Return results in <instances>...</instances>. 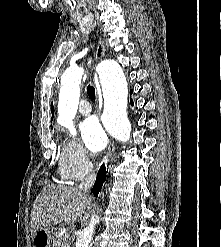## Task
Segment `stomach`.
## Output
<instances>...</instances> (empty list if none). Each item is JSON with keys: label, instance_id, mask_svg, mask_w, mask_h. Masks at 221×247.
<instances>
[{"label": "stomach", "instance_id": "0dacf381", "mask_svg": "<svg viewBox=\"0 0 221 247\" xmlns=\"http://www.w3.org/2000/svg\"><path fill=\"white\" fill-rule=\"evenodd\" d=\"M54 236L49 229L38 230L33 238V247H51Z\"/></svg>", "mask_w": 221, "mask_h": 247}]
</instances>
